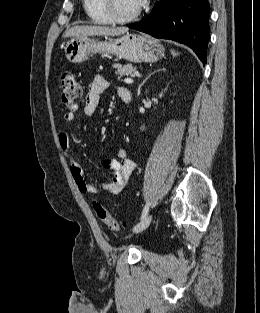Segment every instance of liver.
Returning a JSON list of instances; mask_svg holds the SVG:
<instances>
[{
    "label": "liver",
    "instance_id": "1",
    "mask_svg": "<svg viewBox=\"0 0 260 313\" xmlns=\"http://www.w3.org/2000/svg\"><path fill=\"white\" fill-rule=\"evenodd\" d=\"M128 31L126 27H106L97 25H78L66 30L64 37H86L93 35L118 36Z\"/></svg>",
    "mask_w": 260,
    "mask_h": 313
}]
</instances>
